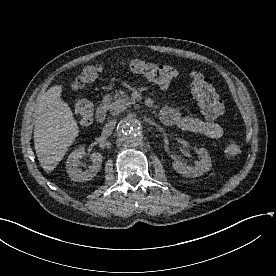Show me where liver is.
I'll return each instance as SVG.
<instances>
[{"instance_id": "liver-1", "label": "liver", "mask_w": 276, "mask_h": 276, "mask_svg": "<svg viewBox=\"0 0 276 276\" xmlns=\"http://www.w3.org/2000/svg\"><path fill=\"white\" fill-rule=\"evenodd\" d=\"M62 85L42 94L34 110V145L41 167L53 171L79 134L70 106L61 99Z\"/></svg>"}]
</instances>
